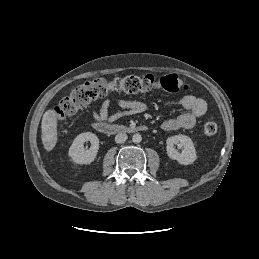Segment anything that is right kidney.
<instances>
[{
    "instance_id": "right-kidney-1",
    "label": "right kidney",
    "mask_w": 259,
    "mask_h": 259,
    "mask_svg": "<svg viewBox=\"0 0 259 259\" xmlns=\"http://www.w3.org/2000/svg\"><path fill=\"white\" fill-rule=\"evenodd\" d=\"M87 141H90L91 146L89 149L85 150L84 143ZM98 150V137L91 132H85L79 134L74 139L72 145L69 148L68 155L71 157L72 161L77 164H90L95 160Z\"/></svg>"
}]
</instances>
